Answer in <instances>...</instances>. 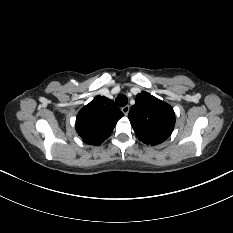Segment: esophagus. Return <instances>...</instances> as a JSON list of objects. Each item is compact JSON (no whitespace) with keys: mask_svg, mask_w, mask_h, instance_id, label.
Wrapping results in <instances>:
<instances>
[{"mask_svg":"<svg viewBox=\"0 0 233 233\" xmlns=\"http://www.w3.org/2000/svg\"><path fill=\"white\" fill-rule=\"evenodd\" d=\"M121 111L124 113V115H128V113L130 111L129 105L122 107Z\"/></svg>","mask_w":233,"mask_h":233,"instance_id":"1","label":"esophagus"}]
</instances>
